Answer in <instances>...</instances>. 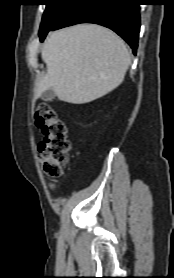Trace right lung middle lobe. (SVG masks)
Here are the masks:
<instances>
[{
	"label": "right lung middle lobe",
	"mask_w": 174,
	"mask_h": 278,
	"mask_svg": "<svg viewBox=\"0 0 174 278\" xmlns=\"http://www.w3.org/2000/svg\"><path fill=\"white\" fill-rule=\"evenodd\" d=\"M75 0H44L46 9L43 14L39 34L53 27Z\"/></svg>",
	"instance_id": "1"
}]
</instances>
